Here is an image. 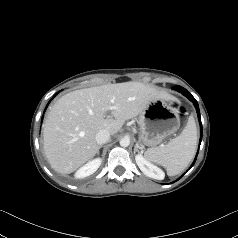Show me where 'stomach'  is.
<instances>
[{
    "mask_svg": "<svg viewBox=\"0 0 238 238\" xmlns=\"http://www.w3.org/2000/svg\"><path fill=\"white\" fill-rule=\"evenodd\" d=\"M179 126L177 109L164 99L153 100L139 115L140 141L155 147L174 134Z\"/></svg>",
    "mask_w": 238,
    "mask_h": 238,
    "instance_id": "obj_1",
    "label": "stomach"
}]
</instances>
